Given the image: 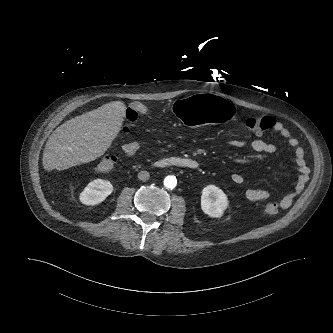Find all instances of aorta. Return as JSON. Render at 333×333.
<instances>
[{"label": "aorta", "instance_id": "aorta-1", "mask_svg": "<svg viewBox=\"0 0 333 333\" xmlns=\"http://www.w3.org/2000/svg\"><path fill=\"white\" fill-rule=\"evenodd\" d=\"M177 184V180L174 176H167L164 179V186L169 188V189H173Z\"/></svg>", "mask_w": 333, "mask_h": 333}]
</instances>
